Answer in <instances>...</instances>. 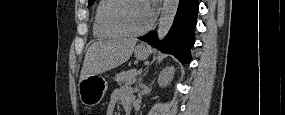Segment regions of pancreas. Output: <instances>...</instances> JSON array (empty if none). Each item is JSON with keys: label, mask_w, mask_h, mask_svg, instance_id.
Masks as SVG:
<instances>
[{"label": "pancreas", "mask_w": 285, "mask_h": 115, "mask_svg": "<svg viewBox=\"0 0 285 115\" xmlns=\"http://www.w3.org/2000/svg\"><path fill=\"white\" fill-rule=\"evenodd\" d=\"M138 73L139 72L136 69L123 71L114 76V81H116L118 84H121V83L131 84L135 82L136 76L138 75Z\"/></svg>", "instance_id": "1"}]
</instances>
